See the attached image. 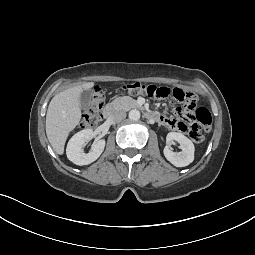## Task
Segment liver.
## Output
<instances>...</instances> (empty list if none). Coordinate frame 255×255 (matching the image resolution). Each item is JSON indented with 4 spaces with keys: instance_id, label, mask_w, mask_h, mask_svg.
<instances>
[{
    "instance_id": "liver-1",
    "label": "liver",
    "mask_w": 255,
    "mask_h": 255,
    "mask_svg": "<svg viewBox=\"0 0 255 255\" xmlns=\"http://www.w3.org/2000/svg\"><path fill=\"white\" fill-rule=\"evenodd\" d=\"M94 86L93 82L70 87L56 94L49 103L46 115V134L54 151L62 155L69 133L81 119L80 94Z\"/></svg>"
}]
</instances>
